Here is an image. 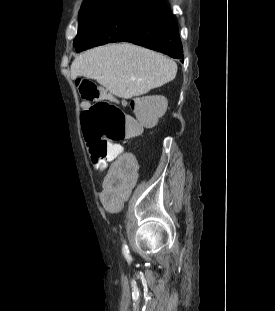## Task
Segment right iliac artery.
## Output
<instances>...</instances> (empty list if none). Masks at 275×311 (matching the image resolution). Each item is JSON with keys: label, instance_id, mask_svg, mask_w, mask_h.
I'll return each mask as SVG.
<instances>
[{"label": "right iliac artery", "instance_id": "1", "mask_svg": "<svg viewBox=\"0 0 275 311\" xmlns=\"http://www.w3.org/2000/svg\"><path fill=\"white\" fill-rule=\"evenodd\" d=\"M122 251H123V254L125 256V258L127 260H130L131 259V256L129 254V249H128V246L126 244H123V248H122Z\"/></svg>", "mask_w": 275, "mask_h": 311}]
</instances>
